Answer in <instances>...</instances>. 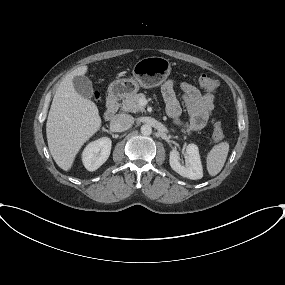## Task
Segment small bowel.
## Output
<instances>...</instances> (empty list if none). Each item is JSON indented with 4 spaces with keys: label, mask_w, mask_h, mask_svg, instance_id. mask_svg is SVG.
Here are the masks:
<instances>
[{
    "label": "small bowel",
    "mask_w": 285,
    "mask_h": 285,
    "mask_svg": "<svg viewBox=\"0 0 285 285\" xmlns=\"http://www.w3.org/2000/svg\"><path fill=\"white\" fill-rule=\"evenodd\" d=\"M183 92V101L190 115L187 123L180 121L181 107L175 95V87ZM162 95L166 103V112L174 122L188 130H201L209 122L213 123L214 95L210 92L201 93L198 88L187 83L168 80L162 86Z\"/></svg>",
    "instance_id": "c3829d8e"
}]
</instances>
